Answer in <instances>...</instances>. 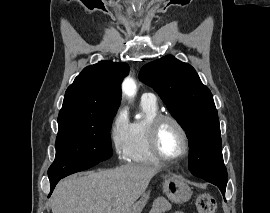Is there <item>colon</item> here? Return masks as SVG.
Wrapping results in <instances>:
<instances>
[{"label": "colon", "instance_id": "colon-1", "mask_svg": "<svg viewBox=\"0 0 270 213\" xmlns=\"http://www.w3.org/2000/svg\"><path fill=\"white\" fill-rule=\"evenodd\" d=\"M198 213H215L217 205L215 199L208 193H200L195 199Z\"/></svg>", "mask_w": 270, "mask_h": 213}]
</instances>
